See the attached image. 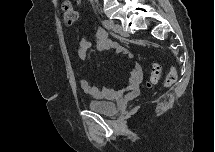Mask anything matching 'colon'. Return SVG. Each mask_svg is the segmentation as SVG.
Here are the masks:
<instances>
[{"label": "colon", "mask_w": 215, "mask_h": 152, "mask_svg": "<svg viewBox=\"0 0 215 152\" xmlns=\"http://www.w3.org/2000/svg\"><path fill=\"white\" fill-rule=\"evenodd\" d=\"M62 14H63V19L66 25H73L78 18V13L75 7L69 3L66 2L62 6ZM161 77V68L158 64H153L151 67V72H150V77L147 82V87H151L155 83L159 81ZM177 79V74L176 70L174 68H171L169 73L167 74L165 81H164V86L165 87H170L175 83Z\"/></svg>", "instance_id": "5ec220e1"}]
</instances>
